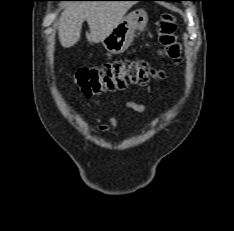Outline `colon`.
<instances>
[{"label": "colon", "mask_w": 234, "mask_h": 231, "mask_svg": "<svg viewBox=\"0 0 234 231\" xmlns=\"http://www.w3.org/2000/svg\"><path fill=\"white\" fill-rule=\"evenodd\" d=\"M174 32L175 23L172 15H162L157 24L156 42L168 59L179 63L181 53ZM160 76L162 74L145 61L119 60L81 69L73 75V79L82 95L89 98L104 92L122 90L129 85L146 86L152 78Z\"/></svg>", "instance_id": "obj_1"}]
</instances>
